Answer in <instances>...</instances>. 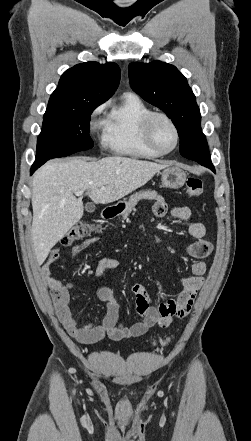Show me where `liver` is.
Masks as SVG:
<instances>
[{"instance_id": "obj_1", "label": "liver", "mask_w": 251, "mask_h": 441, "mask_svg": "<svg viewBox=\"0 0 251 441\" xmlns=\"http://www.w3.org/2000/svg\"><path fill=\"white\" fill-rule=\"evenodd\" d=\"M168 166V162L159 164L122 156L92 162L73 158L43 165L33 176L31 198V236L38 264L82 218V198H76L75 192L86 191L94 203L108 204L145 185Z\"/></svg>"}]
</instances>
